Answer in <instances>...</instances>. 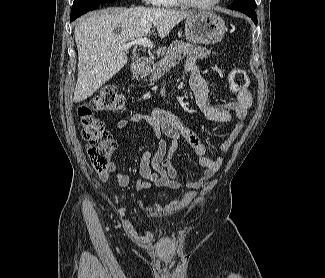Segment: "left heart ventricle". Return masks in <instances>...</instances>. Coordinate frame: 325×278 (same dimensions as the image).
Returning a JSON list of instances; mask_svg holds the SVG:
<instances>
[{"label":"left heart ventricle","instance_id":"left-heart-ventricle-1","mask_svg":"<svg viewBox=\"0 0 325 278\" xmlns=\"http://www.w3.org/2000/svg\"><path fill=\"white\" fill-rule=\"evenodd\" d=\"M192 1H194V2H196V3H208V2H210L211 0H192Z\"/></svg>","mask_w":325,"mask_h":278}]
</instances>
